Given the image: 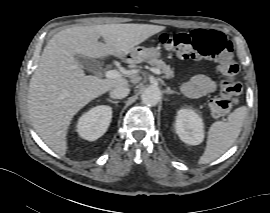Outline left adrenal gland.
I'll return each instance as SVG.
<instances>
[{"mask_svg": "<svg viewBox=\"0 0 270 213\" xmlns=\"http://www.w3.org/2000/svg\"><path fill=\"white\" fill-rule=\"evenodd\" d=\"M165 92H166V94H180V93H178V92H176L174 90H171L169 87L166 88Z\"/></svg>", "mask_w": 270, "mask_h": 213, "instance_id": "obj_1", "label": "left adrenal gland"}]
</instances>
